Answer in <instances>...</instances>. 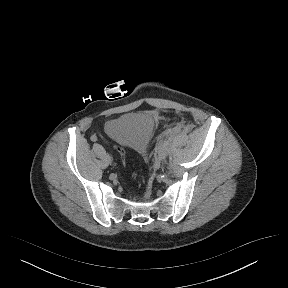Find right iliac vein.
I'll return each instance as SVG.
<instances>
[{
	"label": "right iliac vein",
	"instance_id": "63e3f726",
	"mask_svg": "<svg viewBox=\"0 0 288 288\" xmlns=\"http://www.w3.org/2000/svg\"><path fill=\"white\" fill-rule=\"evenodd\" d=\"M107 160H108V162H109V163H111V162H112V158H111V156H110V155H107Z\"/></svg>",
	"mask_w": 288,
	"mask_h": 288
}]
</instances>
